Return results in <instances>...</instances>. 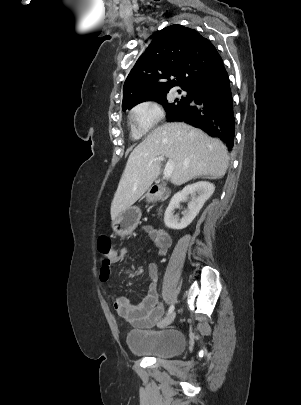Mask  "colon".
Listing matches in <instances>:
<instances>
[{
  "label": "colon",
  "mask_w": 301,
  "mask_h": 405,
  "mask_svg": "<svg viewBox=\"0 0 301 405\" xmlns=\"http://www.w3.org/2000/svg\"><path fill=\"white\" fill-rule=\"evenodd\" d=\"M97 247L102 256V259L108 258V256L110 255V253L112 251V246H111V242L107 236H101L98 239Z\"/></svg>",
  "instance_id": "5ec220e1"
}]
</instances>
